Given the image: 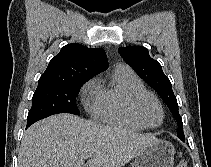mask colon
Here are the masks:
<instances>
[{
    "mask_svg": "<svg viewBox=\"0 0 211 167\" xmlns=\"http://www.w3.org/2000/svg\"><path fill=\"white\" fill-rule=\"evenodd\" d=\"M176 167H189L186 161H180Z\"/></svg>",
    "mask_w": 211,
    "mask_h": 167,
    "instance_id": "5ec220e1",
    "label": "colon"
}]
</instances>
